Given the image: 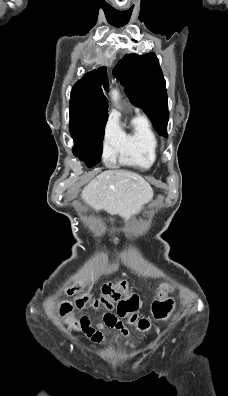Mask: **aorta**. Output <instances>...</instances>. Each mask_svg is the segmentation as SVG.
<instances>
[{
  "instance_id": "762f6f07",
  "label": "aorta",
  "mask_w": 228,
  "mask_h": 396,
  "mask_svg": "<svg viewBox=\"0 0 228 396\" xmlns=\"http://www.w3.org/2000/svg\"><path fill=\"white\" fill-rule=\"evenodd\" d=\"M118 99H119V93H118V91H117V90H113V91H112V100H113L115 103H117V102H118Z\"/></svg>"
}]
</instances>
